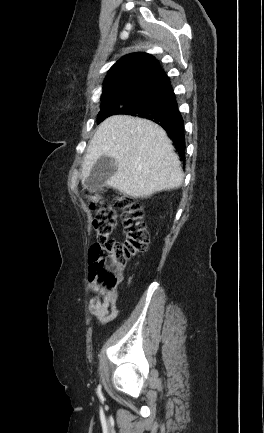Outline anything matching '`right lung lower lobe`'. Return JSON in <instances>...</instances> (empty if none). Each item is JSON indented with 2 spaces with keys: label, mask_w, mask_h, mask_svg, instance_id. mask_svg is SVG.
<instances>
[{
  "label": "right lung lower lobe",
  "mask_w": 264,
  "mask_h": 433,
  "mask_svg": "<svg viewBox=\"0 0 264 433\" xmlns=\"http://www.w3.org/2000/svg\"><path fill=\"white\" fill-rule=\"evenodd\" d=\"M126 114L147 118L162 126L174 141L179 154L185 156L183 118L170 81L161 68L141 87L139 96Z\"/></svg>",
  "instance_id": "right-lung-lower-lobe-1"
}]
</instances>
